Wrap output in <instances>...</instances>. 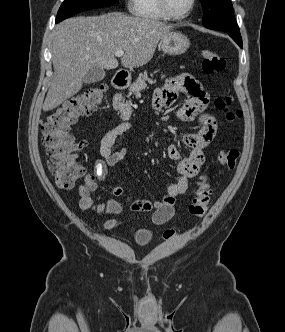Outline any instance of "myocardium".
I'll return each mask as SVG.
<instances>
[{"mask_svg": "<svg viewBox=\"0 0 285 332\" xmlns=\"http://www.w3.org/2000/svg\"><path fill=\"white\" fill-rule=\"evenodd\" d=\"M158 1H159V5H160V8H161L162 12L169 19H172V20H184L187 17H189L190 14L193 12V10L196 6V3H197V0H191V4H190V7L188 8V10L184 14L178 15V14H175L171 10L168 0H158Z\"/></svg>", "mask_w": 285, "mask_h": 332, "instance_id": "obj_1", "label": "myocardium"}]
</instances>
